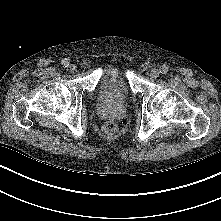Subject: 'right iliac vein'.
Wrapping results in <instances>:
<instances>
[{"label": "right iliac vein", "mask_w": 221, "mask_h": 221, "mask_svg": "<svg viewBox=\"0 0 221 221\" xmlns=\"http://www.w3.org/2000/svg\"><path fill=\"white\" fill-rule=\"evenodd\" d=\"M68 69L70 72H75L77 70V66L74 64H71Z\"/></svg>", "instance_id": "right-iliac-vein-1"}]
</instances>
